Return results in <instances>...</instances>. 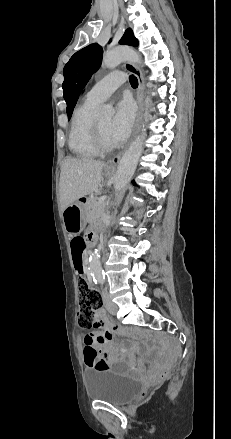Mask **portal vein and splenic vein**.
I'll return each instance as SVG.
<instances>
[{
  "label": "portal vein and splenic vein",
  "instance_id": "1",
  "mask_svg": "<svg viewBox=\"0 0 231 439\" xmlns=\"http://www.w3.org/2000/svg\"><path fill=\"white\" fill-rule=\"evenodd\" d=\"M105 198H106L105 196H102L99 200V204H101L105 200Z\"/></svg>",
  "mask_w": 231,
  "mask_h": 439
}]
</instances>
